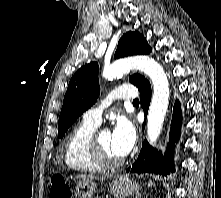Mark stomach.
<instances>
[{"mask_svg": "<svg viewBox=\"0 0 221 198\" xmlns=\"http://www.w3.org/2000/svg\"><path fill=\"white\" fill-rule=\"evenodd\" d=\"M96 190V183L92 180H79L76 182L75 194L79 198H93ZM140 190V185L128 177H116L111 185L110 192L115 198H126L132 196Z\"/></svg>", "mask_w": 221, "mask_h": 198, "instance_id": "1", "label": "stomach"}]
</instances>
